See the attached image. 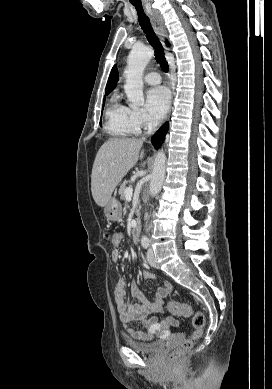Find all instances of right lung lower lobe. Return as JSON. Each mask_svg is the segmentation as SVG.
<instances>
[{
	"mask_svg": "<svg viewBox=\"0 0 272 389\" xmlns=\"http://www.w3.org/2000/svg\"><path fill=\"white\" fill-rule=\"evenodd\" d=\"M168 127H169V124L166 123L151 138V142L156 149H158L162 145V143L165 139V135L168 131Z\"/></svg>",
	"mask_w": 272,
	"mask_h": 389,
	"instance_id": "1",
	"label": "right lung lower lobe"
}]
</instances>
